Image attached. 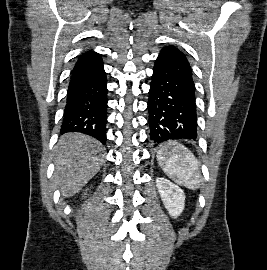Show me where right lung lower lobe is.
I'll return each instance as SVG.
<instances>
[{"label": "right lung lower lobe", "instance_id": "right-lung-lower-lobe-1", "mask_svg": "<svg viewBox=\"0 0 267 270\" xmlns=\"http://www.w3.org/2000/svg\"><path fill=\"white\" fill-rule=\"evenodd\" d=\"M107 87L101 56L82 54L71 74L61 134L80 132L106 142Z\"/></svg>", "mask_w": 267, "mask_h": 270}]
</instances>
